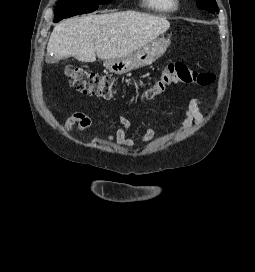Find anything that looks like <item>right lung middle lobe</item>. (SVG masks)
Segmentation results:
<instances>
[{"label":"right lung middle lobe","mask_w":255,"mask_h":272,"mask_svg":"<svg viewBox=\"0 0 255 272\" xmlns=\"http://www.w3.org/2000/svg\"><path fill=\"white\" fill-rule=\"evenodd\" d=\"M113 0H59L55 8L54 22L75 15L94 12L99 5L110 3Z\"/></svg>","instance_id":"dd1d6c3e"}]
</instances>
